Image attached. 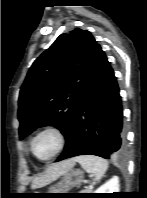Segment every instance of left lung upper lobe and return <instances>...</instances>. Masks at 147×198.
Segmentation results:
<instances>
[{
  "label": "left lung upper lobe",
  "instance_id": "obj_1",
  "mask_svg": "<svg viewBox=\"0 0 147 198\" xmlns=\"http://www.w3.org/2000/svg\"><path fill=\"white\" fill-rule=\"evenodd\" d=\"M98 44L87 30L61 34L31 66L18 100L20 139L51 125L66 137L89 81Z\"/></svg>",
  "mask_w": 147,
  "mask_h": 198
}]
</instances>
